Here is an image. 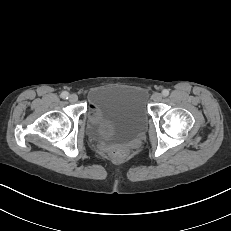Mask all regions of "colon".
<instances>
[{"instance_id":"1","label":"colon","mask_w":231,"mask_h":231,"mask_svg":"<svg viewBox=\"0 0 231 231\" xmlns=\"http://www.w3.org/2000/svg\"><path fill=\"white\" fill-rule=\"evenodd\" d=\"M109 154L115 159H123L126 155V148L119 145H113L108 148Z\"/></svg>"}]
</instances>
